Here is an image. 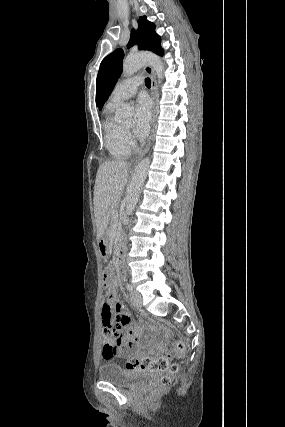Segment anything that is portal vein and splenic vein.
I'll return each mask as SVG.
<instances>
[{"label": "portal vein and splenic vein", "instance_id": "obj_1", "mask_svg": "<svg viewBox=\"0 0 285 427\" xmlns=\"http://www.w3.org/2000/svg\"><path fill=\"white\" fill-rule=\"evenodd\" d=\"M114 214L116 215V218L118 217V212L117 211H114Z\"/></svg>", "mask_w": 285, "mask_h": 427}]
</instances>
